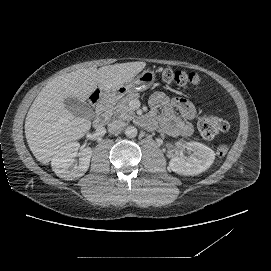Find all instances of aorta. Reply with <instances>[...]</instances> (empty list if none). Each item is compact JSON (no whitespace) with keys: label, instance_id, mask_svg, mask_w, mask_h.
I'll use <instances>...</instances> for the list:
<instances>
[{"label":"aorta","instance_id":"obj_1","mask_svg":"<svg viewBox=\"0 0 271 271\" xmlns=\"http://www.w3.org/2000/svg\"><path fill=\"white\" fill-rule=\"evenodd\" d=\"M138 134V130L136 127L134 126H127L126 129H125V135L128 137V138H135Z\"/></svg>","mask_w":271,"mask_h":271}]
</instances>
